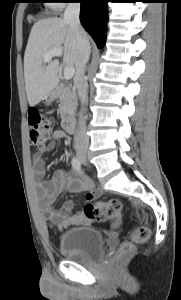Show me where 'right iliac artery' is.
<instances>
[{
	"mask_svg": "<svg viewBox=\"0 0 181 300\" xmlns=\"http://www.w3.org/2000/svg\"><path fill=\"white\" fill-rule=\"evenodd\" d=\"M72 167L77 170V171H81V163L79 161V159L77 157H73L72 161H71Z\"/></svg>",
	"mask_w": 181,
	"mask_h": 300,
	"instance_id": "right-iliac-artery-1",
	"label": "right iliac artery"
}]
</instances>
